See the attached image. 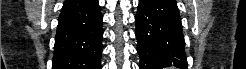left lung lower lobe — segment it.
Segmentation results:
<instances>
[{
  "label": "left lung lower lobe",
  "instance_id": "1",
  "mask_svg": "<svg viewBox=\"0 0 246 69\" xmlns=\"http://www.w3.org/2000/svg\"><path fill=\"white\" fill-rule=\"evenodd\" d=\"M135 22L140 69L187 67L177 5L171 0H140Z\"/></svg>",
  "mask_w": 246,
  "mask_h": 69
}]
</instances>
